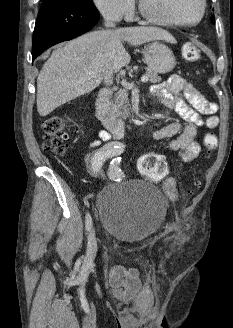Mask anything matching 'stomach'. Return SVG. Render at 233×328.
<instances>
[{"label":"stomach","instance_id":"stomach-1","mask_svg":"<svg viewBox=\"0 0 233 328\" xmlns=\"http://www.w3.org/2000/svg\"><path fill=\"white\" fill-rule=\"evenodd\" d=\"M144 58L148 67L156 73L170 72L176 65L171 49L159 41H153L145 47Z\"/></svg>","mask_w":233,"mask_h":328}]
</instances>
